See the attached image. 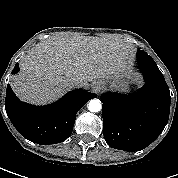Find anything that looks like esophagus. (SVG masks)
<instances>
[{"label":"esophagus","mask_w":178,"mask_h":178,"mask_svg":"<svg viewBox=\"0 0 178 178\" xmlns=\"http://www.w3.org/2000/svg\"><path fill=\"white\" fill-rule=\"evenodd\" d=\"M94 91H97L100 89V85L98 84H94V86L92 87Z\"/></svg>","instance_id":"obj_1"}]
</instances>
